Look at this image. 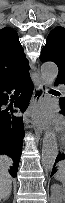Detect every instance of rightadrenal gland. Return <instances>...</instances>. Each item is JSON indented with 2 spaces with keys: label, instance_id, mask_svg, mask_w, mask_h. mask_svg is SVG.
I'll use <instances>...</instances> for the list:
<instances>
[{
  "label": "right adrenal gland",
  "instance_id": "right-adrenal-gland-1",
  "mask_svg": "<svg viewBox=\"0 0 65 203\" xmlns=\"http://www.w3.org/2000/svg\"><path fill=\"white\" fill-rule=\"evenodd\" d=\"M10 196V195H9ZM9 196H7L5 199H3L4 201L7 200L9 198Z\"/></svg>",
  "mask_w": 65,
  "mask_h": 203
}]
</instances>
